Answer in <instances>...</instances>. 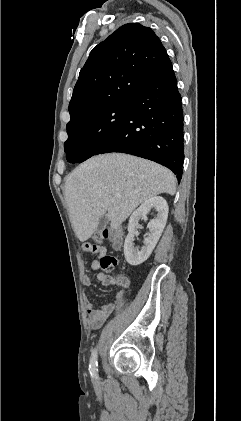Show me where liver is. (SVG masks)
<instances>
[{
    "label": "liver",
    "instance_id": "1",
    "mask_svg": "<svg viewBox=\"0 0 241 421\" xmlns=\"http://www.w3.org/2000/svg\"><path fill=\"white\" fill-rule=\"evenodd\" d=\"M175 192L176 178L170 170L122 153L88 159L75 168L65 182L70 219L82 242L92 236L102 216L109 217L114 230L145 200ZM114 193L120 197L115 198Z\"/></svg>",
    "mask_w": 241,
    "mask_h": 421
}]
</instances>
